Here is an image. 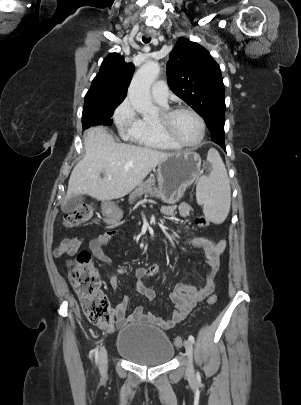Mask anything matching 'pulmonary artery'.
I'll return each instance as SVG.
<instances>
[{"label": "pulmonary artery", "instance_id": "pulmonary-artery-1", "mask_svg": "<svg viewBox=\"0 0 301 405\" xmlns=\"http://www.w3.org/2000/svg\"><path fill=\"white\" fill-rule=\"evenodd\" d=\"M168 87L164 81H158L153 84L151 88V96L154 101L159 104L165 105L168 100Z\"/></svg>", "mask_w": 301, "mask_h": 405}]
</instances>
